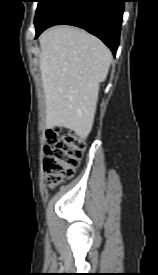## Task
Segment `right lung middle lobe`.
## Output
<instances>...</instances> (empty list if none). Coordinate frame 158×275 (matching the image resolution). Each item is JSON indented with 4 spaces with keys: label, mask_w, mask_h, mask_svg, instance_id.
<instances>
[{
    "label": "right lung middle lobe",
    "mask_w": 158,
    "mask_h": 275,
    "mask_svg": "<svg viewBox=\"0 0 158 275\" xmlns=\"http://www.w3.org/2000/svg\"><path fill=\"white\" fill-rule=\"evenodd\" d=\"M57 0H39L34 23L37 24Z\"/></svg>",
    "instance_id": "1"
}]
</instances>
